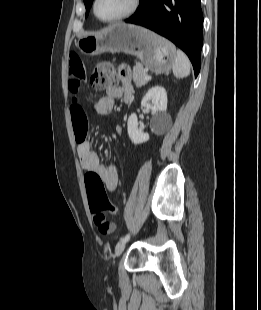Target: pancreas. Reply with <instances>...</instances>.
<instances>
[{
  "label": "pancreas",
  "instance_id": "obj_1",
  "mask_svg": "<svg viewBox=\"0 0 261 310\" xmlns=\"http://www.w3.org/2000/svg\"><path fill=\"white\" fill-rule=\"evenodd\" d=\"M146 75L147 73L142 65L136 64V66L133 67L132 77L137 87H142L147 84L148 80L145 79Z\"/></svg>",
  "mask_w": 261,
  "mask_h": 310
}]
</instances>
